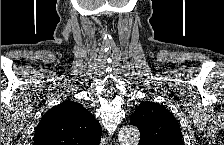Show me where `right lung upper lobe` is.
Segmentation results:
<instances>
[{
	"label": "right lung upper lobe",
	"instance_id": "cb5924a9",
	"mask_svg": "<svg viewBox=\"0 0 224 145\" xmlns=\"http://www.w3.org/2000/svg\"><path fill=\"white\" fill-rule=\"evenodd\" d=\"M99 122L81 104L73 101L49 109L34 134V145H98Z\"/></svg>",
	"mask_w": 224,
	"mask_h": 145
}]
</instances>
